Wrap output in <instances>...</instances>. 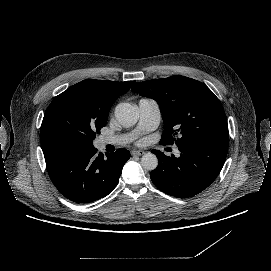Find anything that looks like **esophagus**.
Wrapping results in <instances>:
<instances>
[{
    "instance_id": "1",
    "label": "esophagus",
    "mask_w": 271,
    "mask_h": 271,
    "mask_svg": "<svg viewBox=\"0 0 271 271\" xmlns=\"http://www.w3.org/2000/svg\"><path fill=\"white\" fill-rule=\"evenodd\" d=\"M131 154L141 156V155L145 154V152L142 150H132Z\"/></svg>"
}]
</instances>
